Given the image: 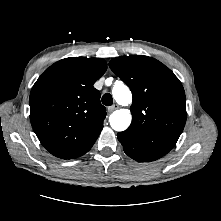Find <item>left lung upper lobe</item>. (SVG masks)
Returning a JSON list of instances; mask_svg holds the SVG:
<instances>
[{"instance_id":"5c2ea615","label":"left lung upper lobe","mask_w":221,"mask_h":221,"mask_svg":"<svg viewBox=\"0 0 221 221\" xmlns=\"http://www.w3.org/2000/svg\"><path fill=\"white\" fill-rule=\"evenodd\" d=\"M109 66L133 95L132 123L118 134L138 152L161 158L175 146L185 126L181 82L164 64L148 56L117 57Z\"/></svg>"}]
</instances>
